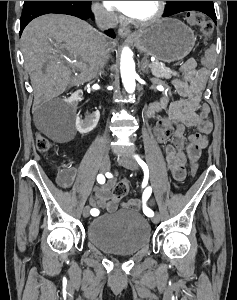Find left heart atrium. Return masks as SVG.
<instances>
[{
	"label": "left heart atrium",
	"instance_id": "1",
	"mask_svg": "<svg viewBox=\"0 0 237 300\" xmlns=\"http://www.w3.org/2000/svg\"><path fill=\"white\" fill-rule=\"evenodd\" d=\"M104 4L109 9L131 16L138 6L139 1H104Z\"/></svg>",
	"mask_w": 237,
	"mask_h": 300
}]
</instances>
